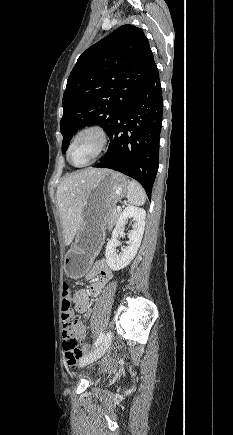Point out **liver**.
Returning <instances> with one entry per match:
<instances>
[{
  "label": "liver",
  "instance_id": "obj_1",
  "mask_svg": "<svg viewBox=\"0 0 233 435\" xmlns=\"http://www.w3.org/2000/svg\"><path fill=\"white\" fill-rule=\"evenodd\" d=\"M106 171L103 168L79 170L67 176L58 186L56 196L66 246L70 245L81 226L83 208L91 187Z\"/></svg>",
  "mask_w": 233,
  "mask_h": 435
}]
</instances>
